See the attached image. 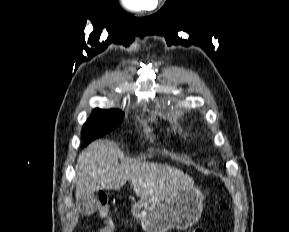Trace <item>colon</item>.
Wrapping results in <instances>:
<instances>
[{
    "label": "colon",
    "mask_w": 289,
    "mask_h": 232,
    "mask_svg": "<svg viewBox=\"0 0 289 232\" xmlns=\"http://www.w3.org/2000/svg\"><path fill=\"white\" fill-rule=\"evenodd\" d=\"M108 212H109L108 198L105 195H101L98 200V213L102 217H106L108 215ZM100 232H114L112 224L107 223L104 227L101 228ZM187 232H205V231L201 228H196L193 230H189Z\"/></svg>",
    "instance_id": "obj_1"
}]
</instances>
